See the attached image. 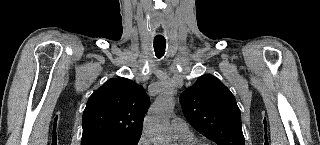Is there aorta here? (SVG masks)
I'll return each instance as SVG.
<instances>
[{"label": "aorta", "mask_w": 320, "mask_h": 145, "mask_svg": "<svg viewBox=\"0 0 320 145\" xmlns=\"http://www.w3.org/2000/svg\"><path fill=\"white\" fill-rule=\"evenodd\" d=\"M174 91L163 92L150 107L145 120L144 133L152 138L155 145L169 142L168 120L174 107Z\"/></svg>", "instance_id": "aorta-1"}]
</instances>
